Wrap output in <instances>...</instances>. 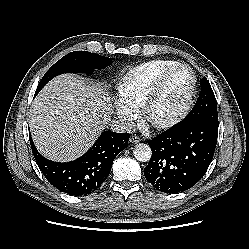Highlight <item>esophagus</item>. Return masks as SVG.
<instances>
[{
  "mask_svg": "<svg viewBox=\"0 0 249 249\" xmlns=\"http://www.w3.org/2000/svg\"><path fill=\"white\" fill-rule=\"evenodd\" d=\"M141 141L140 137L137 136V135H132L130 137V142L133 143V144H137Z\"/></svg>",
  "mask_w": 249,
  "mask_h": 249,
  "instance_id": "34e87169",
  "label": "esophagus"
}]
</instances>
